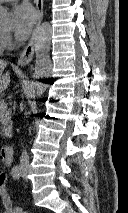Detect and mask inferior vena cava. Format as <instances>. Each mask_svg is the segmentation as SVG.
<instances>
[{"mask_svg": "<svg viewBox=\"0 0 128 213\" xmlns=\"http://www.w3.org/2000/svg\"><path fill=\"white\" fill-rule=\"evenodd\" d=\"M21 167H28L29 166V156L26 150L22 153L21 160H20Z\"/></svg>", "mask_w": 128, "mask_h": 213, "instance_id": "inferior-vena-cava-1", "label": "inferior vena cava"}]
</instances>
